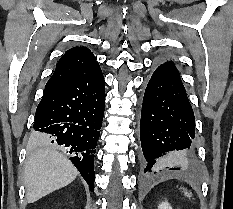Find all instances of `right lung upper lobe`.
Instances as JSON below:
<instances>
[{"instance_id":"cb5924a9","label":"right lung upper lobe","mask_w":233,"mask_h":209,"mask_svg":"<svg viewBox=\"0 0 233 209\" xmlns=\"http://www.w3.org/2000/svg\"><path fill=\"white\" fill-rule=\"evenodd\" d=\"M96 57L86 47L69 49L58 61L54 74L45 86V90L68 82L97 65Z\"/></svg>"}]
</instances>
